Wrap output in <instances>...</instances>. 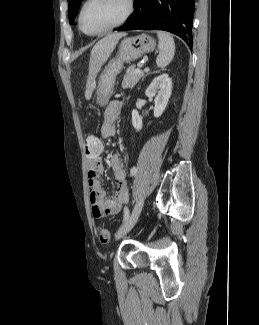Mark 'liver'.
<instances>
[{
    "instance_id": "1",
    "label": "liver",
    "mask_w": 259,
    "mask_h": 325,
    "mask_svg": "<svg viewBox=\"0 0 259 325\" xmlns=\"http://www.w3.org/2000/svg\"><path fill=\"white\" fill-rule=\"evenodd\" d=\"M126 36V33H111L101 39L91 50L90 56V75L93 78L100 70L103 63L107 61L111 53L113 52L118 41ZM95 87L94 82H89L85 92L86 99H90L93 89Z\"/></svg>"
}]
</instances>
